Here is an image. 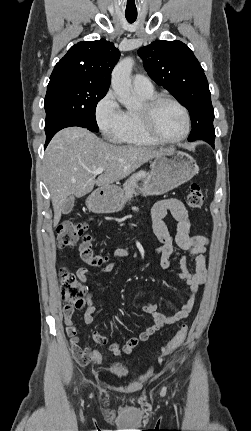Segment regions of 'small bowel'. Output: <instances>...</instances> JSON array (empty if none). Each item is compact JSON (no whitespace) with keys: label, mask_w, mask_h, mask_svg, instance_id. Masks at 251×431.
<instances>
[{"label":"small bowel","mask_w":251,"mask_h":431,"mask_svg":"<svg viewBox=\"0 0 251 431\" xmlns=\"http://www.w3.org/2000/svg\"><path fill=\"white\" fill-rule=\"evenodd\" d=\"M168 213H170L177 221V230L174 237L170 234L164 221ZM151 215L153 232L160 242V246L154 250L155 254L160 256V267L165 270L170 267V256L174 253L175 249L186 251L189 256L194 257L195 259L194 271H190L187 265L186 256H182L180 258L179 277L188 286L189 295L187 301L179 309L169 315L158 312L157 304L155 302L151 300L147 301L142 307V311L152 316L153 323L143 330L138 337L129 339L124 345H121L116 341L110 342L107 336L101 334L98 330H93V341L99 345H108L109 351L114 355L133 353L140 343L148 341L149 338L163 326L174 324L186 318L192 311L196 294L206 279V248L208 245V239L202 235L190 234L188 212L184 204L178 199L161 200L153 206ZM129 253V249L121 248L115 250L113 256L124 257L129 255ZM115 267L116 263H108L104 265L100 271L102 273L111 272ZM88 274V269L84 267H81L76 271L77 277L83 283L88 281ZM95 312V297L90 291L87 295L84 308V323L91 324L94 321ZM72 314L73 309H64L67 334L74 344L71 346L70 351L74 354L73 360L74 362H78V367L80 369H87L93 361L91 357L95 350L77 346L78 329L77 324L72 321Z\"/></svg>","instance_id":"small-bowel-1"}]
</instances>
